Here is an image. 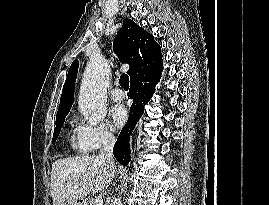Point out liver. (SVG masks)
<instances>
[{
  "label": "liver",
  "instance_id": "obj_1",
  "mask_svg": "<svg viewBox=\"0 0 269 205\" xmlns=\"http://www.w3.org/2000/svg\"><path fill=\"white\" fill-rule=\"evenodd\" d=\"M116 174V166L97 155L61 158L52 164L51 189L53 205H73L91 191H104Z\"/></svg>",
  "mask_w": 269,
  "mask_h": 205
}]
</instances>
